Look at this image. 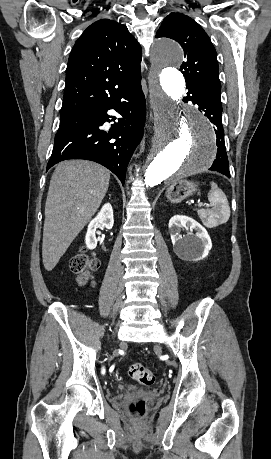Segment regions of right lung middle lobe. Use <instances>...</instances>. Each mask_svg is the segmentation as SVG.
Returning a JSON list of instances; mask_svg holds the SVG:
<instances>
[{
  "label": "right lung middle lobe",
  "mask_w": 271,
  "mask_h": 459,
  "mask_svg": "<svg viewBox=\"0 0 271 459\" xmlns=\"http://www.w3.org/2000/svg\"><path fill=\"white\" fill-rule=\"evenodd\" d=\"M89 109H92V108H87V109H85V110H89ZM83 111H84V110H83ZM76 113H78V112H74V113H61L60 118L63 119V118H65V117H68V116L73 115V114H76Z\"/></svg>",
  "instance_id": "1"
}]
</instances>
